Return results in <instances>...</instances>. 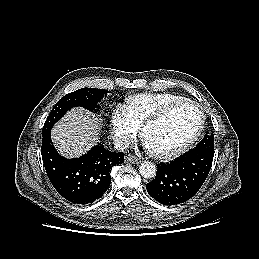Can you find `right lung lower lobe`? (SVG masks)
<instances>
[{
	"mask_svg": "<svg viewBox=\"0 0 259 259\" xmlns=\"http://www.w3.org/2000/svg\"><path fill=\"white\" fill-rule=\"evenodd\" d=\"M50 131L42 132L41 154L57 192L77 204L92 203L102 197L111 182V169L123 163L124 153L111 152L97 145L79 158L66 159L56 151Z\"/></svg>",
	"mask_w": 259,
	"mask_h": 259,
	"instance_id": "98d812e1",
	"label": "right lung lower lobe"
}]
</instances>
